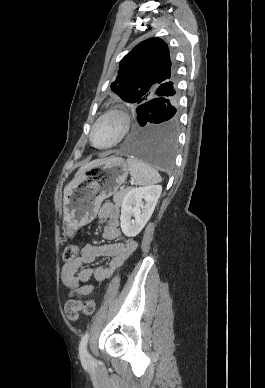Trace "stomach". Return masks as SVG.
<instances>
[{
    "mask_svg": "<svg viewBox=\"0 0 265 388\" xmlns=\"http://www.w3.org/2000/svg\"><path fill=\"white\" fill-rule=\"evenodd\" d=\"M128 176L126 161L117 156L101 159L86 168L65 187L63 212L65 231L90 223L101 203L113 195Z\"/></svg>",
    "mask_w": 265,
    "mask_h": 388,
    "instance_id": "0dacf381",
    "label": "stomach"
}]
</instances>
